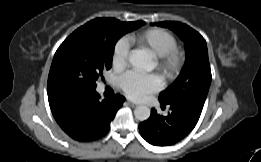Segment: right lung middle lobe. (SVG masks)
<instances>
[{
  "label": "right lung middle lobe",
  "mask_w": 261,
  "mask_h": 162,
  "mask_svg": "<svg viewBox=\"0 0 261 162\" xmlns=\"http://www.w3.org/2000/svg\"><path fill=\"white\" fill-rule=\"evenodd\" d=\"M98 18L76 29L56 51L50 68L49 103H61L96 92V81L112 66L114 46L124 34L144 25Z\"/></svg>",
  "instance_id": "obj_1"
}]
</instances>
